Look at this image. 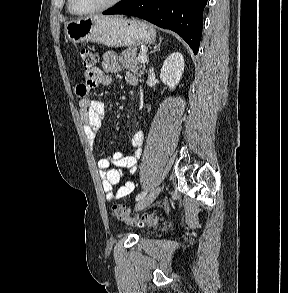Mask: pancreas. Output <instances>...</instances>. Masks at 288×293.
<instances>
[{
  "instance_id": "pancreas-1",
  "label": "pancreas",
  "mask_w": 288,
  "mask_h": 293,
  "mask_svg": "<svg viewBox=\"0 0 288 293\" xmlns=\"http://www.w3.org/2000/svg\"><path fill=\"white\" fill-rule=\"evenodd\" d=\"M119 62L123 67L139 76L144 73L145 64L138 60L136 49H125L119 57Z\"/></svg>"
}]
</instances>
